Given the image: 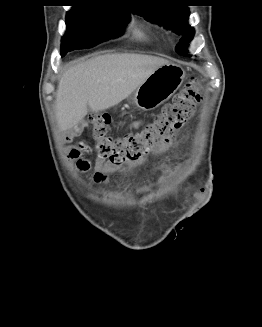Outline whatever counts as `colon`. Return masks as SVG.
<instances>
[{
	"instance_id": "obj_1",
	"label": "colon",
	"mask_w": 262,
	"mask_h": 327,
	"mask_svg": "<svg viewBox=\"0 0 262 327\" xmlns=\"http://www.w3.org/2000/svg\"><path fill=\"white\" fill-rule=\"evenodd\" d=\"M202 100L200 86L197 82H188L176 94L172 102L152 118L140 131L114 137L110 134L111 118L108 114H91L88 117L95 152L114 165L136 161L155 146L171 139L195 113ZM82 150H89L85 144Z\"/></svg>"
}]
</instances>
